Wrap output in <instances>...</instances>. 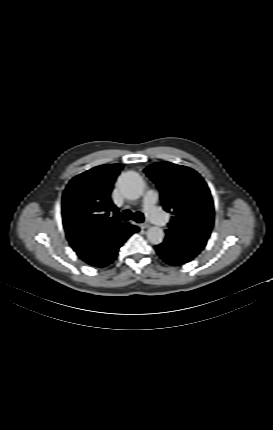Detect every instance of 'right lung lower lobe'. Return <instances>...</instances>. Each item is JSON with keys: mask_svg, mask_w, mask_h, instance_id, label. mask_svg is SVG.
I'll list each match as a JSON object with an SVG mask.
<instances>
[{"mask_svg": "<svg viewBox=\"0 0 273 430\" xmlns=\"http://www.w3.org/2000/svg\"><path fill=\"white\" fill-rule=\"evenodd\" d=\"M138 231L139 228L135 227L127 236L106 237L98 250H96L92 257H90L85 262L96 267H104L109 265L116 258L120 246L127 240L130 235Z\"/></svg>", "mask_w": 273, "mask_h": 430, "instance_id": "obj_1", "label": "right lung lower lobe"}]
</instances>
